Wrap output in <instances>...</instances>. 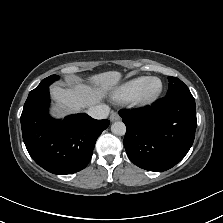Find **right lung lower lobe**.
<instances>
[{
	"label": "right lung lower lobe",
	"instance_id": "98d812e1",
	"mask_svg": "<svg viewBox=\"0 0 223 223\" xmlns=\"http://www.w3.org/2000/svg\"><path fill=\"white\" fill-rule=\"evenodd\" d=\"M48 86L29 93L21 114L25 146L33 160L53 174H72L89 163L95 142L109 120L75 114L56 120L48 114Z\"/></svg>",
	"mask_w": 223,
	"mask_h": 223
}]
</instances>
